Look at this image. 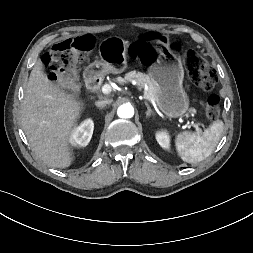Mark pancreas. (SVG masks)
Returning <instances> with one entry per match:
<instances>
[{"label":"pancreas","mask_w":253,"mask_h":253,"mask_svg":"<svg viewBox=\"0 0 253 253\" xmlns=\"http://www.w3.org/2000/svg\"><path fill=\"white\" fill-rule=\"evenodd\" d=\"M135 81L139 88H143L147 85V89L144 91V94L152 98L156 103L159 104V93L160 88L157 84L151 80V78L143 73L140 72H130L125 74L124 78L118 77L117 82L119 84H125L127 82Z\"/></svg>","instance_id":"cf45deb5"}]
</instances>
